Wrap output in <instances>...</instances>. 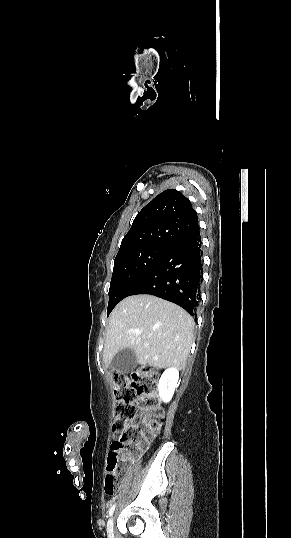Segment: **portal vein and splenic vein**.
Masks as SVG:
<instances>
[{
	"instance_id": "portal-vein-and-splenic-vein-1",
	"label": "portal vein and splenic vein",
	"mask_w": 291,
	"mask_h": 538,
	"mask_svg": "<svg viewBox=\"0 0 291 538\" xmlns=\"http://www.w3.org/2000/svg\"><path fill=\"white\" fill-rule=\"evenodd\" d=\"M133 332L138 334V335L140 334L139 330H133Z\"/></svg>"
}]
</instances>
